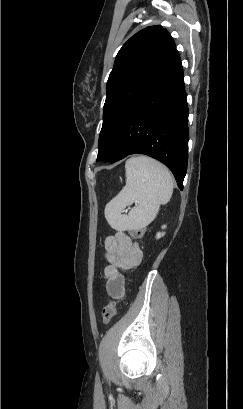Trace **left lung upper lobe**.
<instances>
[{"instance_id": "obj_1", "label": "left lung upper lobe", "mask_w": 243, "mask_h": 409, "mask_svg": "<svg viewBox=\"0 0 243 409\" xmlns=\"http://www.w3.org/2000/svg\"><path fill=\"white\" fill-rule=\"evenodd\" d=\"M175 50L172 37L161 26H150L139 31L122 46L107 81L97 161L110 162L113 158L124 118Z\"/></svg>"}]
</instances>
